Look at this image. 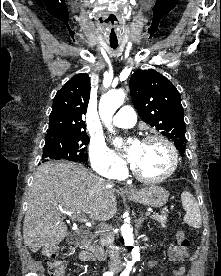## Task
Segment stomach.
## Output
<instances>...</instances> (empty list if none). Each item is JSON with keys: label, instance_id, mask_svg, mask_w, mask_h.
<instances>
[{"label": "stomach", "instance_id": "stomach-1", "mask_svg": "<svg viewBox=\"0 0 221 276\" xmlns=\"http://www.w3.org/2000/svg\"><path fill=\"white\" fill-rule=\"evenodd\" d=\"M128 198L150 207H161L167 203L169 194L164 188L152 185L128 194Z\"/></svg>", "mask_w": 221, "mask_h": 276}]
</instances>
